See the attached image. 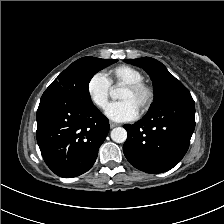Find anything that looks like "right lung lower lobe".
I'll return each instance as SVG.
<instances>
[{
	"instance_id": "1",
	"label": "right lung lower lobe",
	"mask_w": 224,
	"mask_h": 224,
	"mask_svg": "<svg viewBox=\"0 0 224 224\" xmlns=\"http://www.w3.org/2000/svg\"><path fill=\"white\" fill-rule=\"evenodd\" d=\"M37 143L48 167L72 178L88 171L108 131V119L92 102L45 91L37 110Z\"/></svg>"
}]
</instances>
